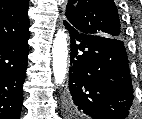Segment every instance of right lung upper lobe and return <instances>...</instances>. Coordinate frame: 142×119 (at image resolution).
Listing matches in <instances>:
<instances>
[{"label": "right lung upper lobe", "instance_id": "right-lung-upper-lobe-1", "mask_svg": "<svg viewBox=\"0 0 142 119\" xmlns=\"http://www.w3.org/2000/svg\"><path fill=\"white\" fill-rule=\"evenodd\" d=\"M29 0H0V45L29 34Z\"/></svg>", "mask_w": 142, "mask_h": 119}]
</instances>
